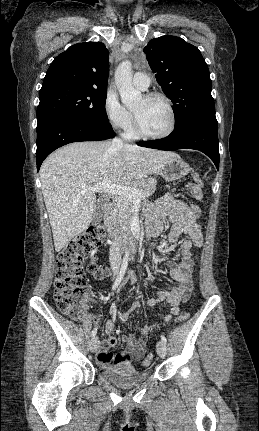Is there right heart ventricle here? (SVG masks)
Returning a JSON list of instances; mask_svg holds the SVG:
<instances>
[{
	"label": "right heart ventricle",
	"instance_id": "obj_1",
	"mask_svg": "<svg viewBox=\"0 0 259 431\" xmlns=\"http://www.w3.org/2000/svg\"><path fill=\"white\" fill-rule=\"evenodd\" d=\"M125 136L127 137V138H130V139H133V138H136L137 137V135H136V133H135V131H134V129H133V126H129L127 129H126V131H125Z\"/></svg>",
	"mask_w": 259,
	"mask_h": 431
}]
</instances>
